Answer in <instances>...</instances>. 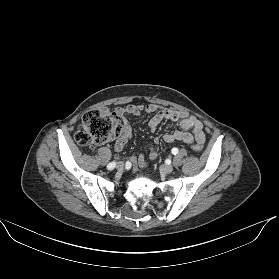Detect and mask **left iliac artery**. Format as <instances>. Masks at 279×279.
Listing matches in <instances>:
<instances>
[{"label": "left iliac artery", "instance_id": "obj_1", "mask_svg": "<svg viewBox=\"0 0 279 279\" xmlns=\"http://www.w3.org/2000/svg\"><path fill=\"white\" fill-rule=\"evenodd\" d=\"M172 154L176 155L178 153V149L177 148H172L171 150Z\"/></svg>", "mask_w": 279, "mask_h": 279}]
</instances>
